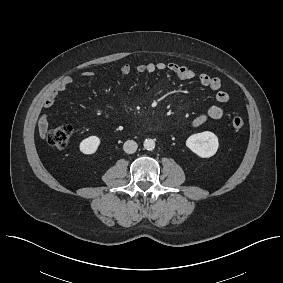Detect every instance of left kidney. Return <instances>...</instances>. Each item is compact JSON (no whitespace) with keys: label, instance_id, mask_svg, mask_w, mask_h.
<instances>
[{"label":"left kidney","instance_id":"obj_1","mask_svg":"<svg viewBox=\"0 0 283 283\" xmlns=\"http://www.w3.org/2000/svg\"><path fill=\"white\" fill-rule=\"evenodd\" d=\"M186 146L201 158H209L216 154L219 142L218 137L210 132L204 131L188 137Z\"/></svg>","mask_w":283,"mask_h":283}]
</instances>
